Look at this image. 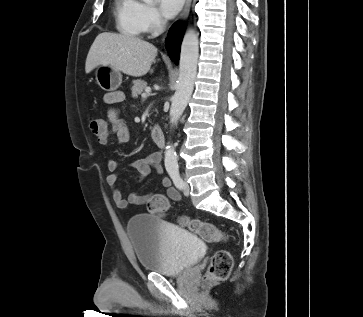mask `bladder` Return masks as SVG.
Wrapping results in <instances>:
<instances>
[{
	"label": "bladder",
	"mask_w": 363,
	"mask_h": 317,
	"mask_svg": "<svg viewBox=\"0 0 363 317\" xmlns=\"http://www.w3.org/2000/svg\"><path fill=\"white\" fill-rule=\"evenodd\" d=\"M127 232L144 270L178 275L190 269L205 253V242L200 236L151 215L132 217Z\"/></svg>",
	"instance_id": "obj_1"
}]
</instances>
